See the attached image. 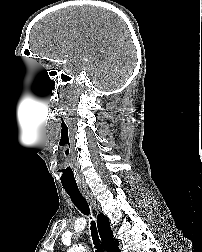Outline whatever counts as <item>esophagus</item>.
<instances>
[{
  "mask_svg": "<svg viewBox=\"0 0 202 252\" xmlns=\"http://www.w3.org/2000/svg\"><path fill=\"white\" fill-rule=\"evenodd\" d=\"M81 192L82 194L85 196V198L88 200V202L94 207L96 208V202L92 196V194L89 192L87 187H82L81 188Z\"/></svg>",
  "mask_w": 202,
  "mask_h": 252,
  "instance_id": "esophagus-1",
  "label": "esophagus"
}]
</instances>
